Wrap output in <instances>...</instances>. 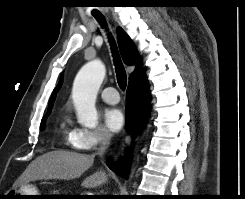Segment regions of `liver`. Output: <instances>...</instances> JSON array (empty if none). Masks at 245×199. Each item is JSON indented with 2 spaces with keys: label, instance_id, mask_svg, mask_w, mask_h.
<instances>
[{
  "label": "liver",
  "instance_id": "liver-1",
  "mask_svg": "<svg viewBox=\"0 0 245 199\" xmlns=\"http://www.w3.org/2000/svg\"><path fill=\"white\" fill-rule=\"evenodd\" d=\"M94 162L93 155L55 150L37 157L26 169L18 184L36 180H72L79 178ZM108 182L104 170L86 177L82 186L96 188Z\"/></svg>",
  "mask_w": 245,
  "mask_h": 199
}]
</instances>
